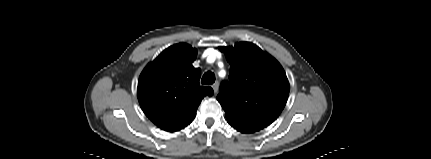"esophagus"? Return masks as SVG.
<instances>
[{"label": "esophagus", "instance_id": "1", "mask_svg": "<svg viewBox=\"0 0 431 159\" xmlns=\"http://www.w3.org/2000/svg\"><path fill=\"white\" fill-rule=\"evenodd\" d=\"M212 88H213L214 94H216L218 92V89H219V83L218 82L214 83L212 85Z\"/></svg>", "mask_w": 431, "mask_h": 159}]
</instances>
